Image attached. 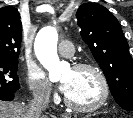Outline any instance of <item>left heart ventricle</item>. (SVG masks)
<instances>
[{"label": "left heart ventricle", "mask_w": 133, "mask_h": 118, "mask_svg": "<svg viewBox=\"0 0 133 118\" xmlns=\"http://www.w3.org/2000/svg\"><path fill=\"white\" fill-rule=\"evenodd\" d=\"M62 82H68L67 98L76 105L87 106L95 103L101 95V86L96 74L91 70L66 71Z\"/></svg>", "instance_id": "left-heart-ventricle-1"}]
</instances>
